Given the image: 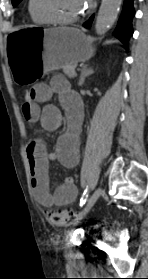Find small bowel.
I'll list each match as a JSON object with an SVG mask.
<instances>
[{
    "instance_id": "c3829d8e",
    "label": "small bowel",
    "mask_w": 148,
    "mask_h": 279,
    "mask_svg": "<svg viewBox=\"0 0 148 279\" xmlns=\"http://www.w3.org/2000/svg\"><path fill=\"white\" fill-rule=\"evenodd\" d=\"M34 99L24 103L22 112L29 123L40 122L47 131L59 129L63 122L61 110L49 101L56 94L64 109L68 128L57 140L54 151H47L42 140H32L26 148L29 163L31 186L35 199L43 206H64L75 201L78 189L72 177H67L54 190L49 186V162L58 161L67 168H73L79 161V131L83 120V105L79 96L60 76L52 84H36L33 87ZM40 104H45L43 107Z\"/></svg>"
}]
</instances>
